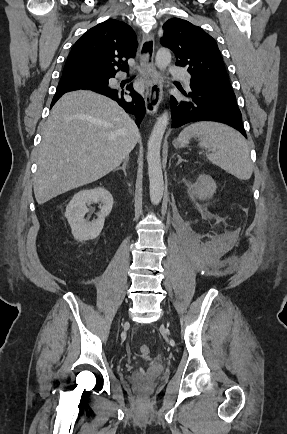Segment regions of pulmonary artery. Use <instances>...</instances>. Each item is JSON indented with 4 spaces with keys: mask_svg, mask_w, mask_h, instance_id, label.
I'll return each instance as SVG.
<instances>
[{
    "mask_svg": "<svg viewBox=\"0 0 287 434\" xmlns=\"http://www.w3.org/2000/svg\"><path fill=\"white\" fill-rule=\"evenodd\" d=\"M169 74L174 77H180L182 78L184 84L189 87L191 78L190 75L181 67L178 66H170L169 67Z\"/></svg>",
    "mask_w": 287,
    "mask_h": 434,
    "instance_id": "e3ab8cb5",
    "label": "pulmonary artery"
}]
</instances>
